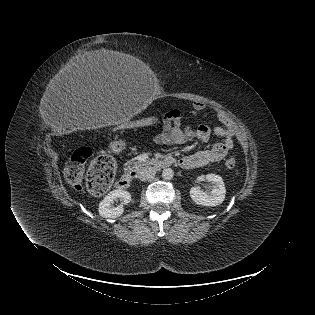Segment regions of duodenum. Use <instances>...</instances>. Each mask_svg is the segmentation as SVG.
Listing matches in <instances>:
<instances>
[{
    "label": "duodenum",
    "mask_w": 315,
    "mask_h": 315,
    "mask_svg": "<svg viewBox=\"0 0 315 315\" xmlns=\"http://www.w3.org/2000/svg\"><path fill=\"white\" fill-rule=\"evenodd\" d=\"M174 163H175V160L171 157L162 158L157 161V165L161 168L169 167L173 165ZM133 176H134V172L126 173L122 175L115 183L116 188L121 189V190L127 189L132 182Z\"/></svg>",
    "instance_id": "1"
}]
</instances>
